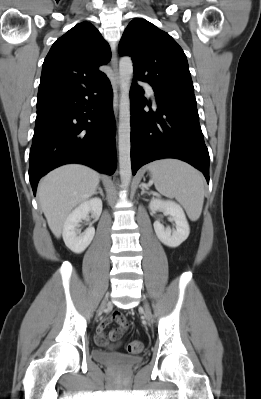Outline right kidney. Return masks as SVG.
<instances>
[{
  "mask_svg": "<svg viewBox=\"0 0 261 399\" xmlns=\"http://www.w3.org/2000/svg\"><path fill=\"white\" fill-rule=\"evenodd\" d=\"M90 212L96 219L99 218L102 212V200L100 198H92L82 202L68 215L64 222L63 240L65 245L74 253H82L95 235L93 227L87 228L83 234H80L77 230L81 220L86 219Z\"/></svg>",
  "mask_w": 261,
  "mask_h": 399,
  "instance_id": "obj_1",
  "label": "right kidney"
}]
</instances>
